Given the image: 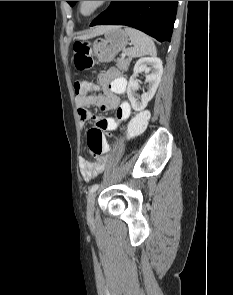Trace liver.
I'll list each match as a JSON object with an SVG mask.
<instances>
[{
    "instance_id": "liver-1",
    "label": "liver",
    "mask_w": 233,
    "mask_h": 295,
    "mask_svg": "<svg viewBox=\"0 0 233 295\" xmlns=\"http://www.w3.org/2000/svg\"><path fill=\"white\" fill-rule=\"evenodd\" d=\"M110 28H111L110 26H99L95 28L90 34L80 37V39H88V38L103 34Z\"/></svg>"
}]
</instances>
